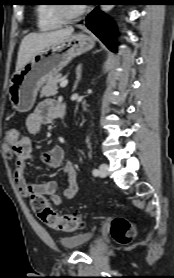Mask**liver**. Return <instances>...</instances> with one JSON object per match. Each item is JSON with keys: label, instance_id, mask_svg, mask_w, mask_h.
Returning a JSON list of instances; mask_svg holds the SVG:
<instances>
[{"label": "liver", "instance_id": "obj_1", "mask_svg": "<svg viewBox=\"0 0 174 278\" xmlns=\"http://www.w3.org/2000/svg\"><path fill=\"white\" fill-rule=\"evenodd\" d=\"M74 32L73 27H67L65 29H59L50 32L42 33H29L26 35L20 44L16 71L20 70L31 58L39 53L41 50L58 43L65 37L72 35Z\"/></svg>", "mask_w": 174, "mask_h": 278}]
</instances>
